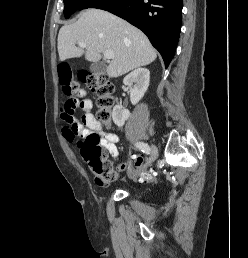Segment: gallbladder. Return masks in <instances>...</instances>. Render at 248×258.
Listing matches in <instances>:
<instances>
[{
    "instance_id": "obj_1",
    "label": "gallbladder",
    "mask_w": 248,
    "mask_h": 258,
    "mask_svg": "<svg viewBox=\"0 0 248 258\" xmlns=\"http://www.w3.org/2000/svg\"><path fill=\"white\" fill-rule=\"evenodd\" d=\"M90 70L97 74H105L106 65L104 63H94L90 66Z\"/></svg>"
}]
</instances>
